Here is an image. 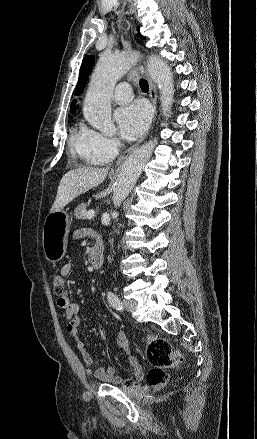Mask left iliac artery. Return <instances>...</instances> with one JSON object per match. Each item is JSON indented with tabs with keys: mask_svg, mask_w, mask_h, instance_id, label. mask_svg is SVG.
Wrapping results in <instances>:
<instances>
[{
	"mask_svg": "<svg viewBox=\"0 0 257 439\" xmlns=\"http://www.w3.org/2000/svg\"><path fill=\"white\" fill-rule=\"evenodd\" d=\"M107 298L111 306L119 311L122 310V303L116 294H114L113 292H108Z\"/></svg>",
	"mask_w": 257,
	"mask_h": 439,
	"instance_id": "44dca946",
	"label": "left iliac artery"
}]
</instances>
